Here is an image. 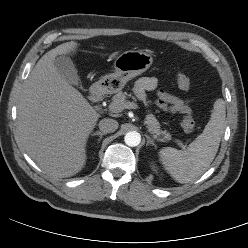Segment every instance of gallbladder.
Wrapping results in <instances>:
<instances>
[{
	"label": "gallbladder",
	"instance_id": "obj_1",
	"mask_svg": "<svg viewBox=\"0 0 248 248\" xmlns=\"http://www.w3.org/2000/svg\"><path fill=\"white\" fill-rule=\"evenodd\" d=\"M54 65L60 76L63 77L68 83L75 86H80L77 70L69 57L65 55L57 57L54 61Z\"/></svg>",
	"mask_w": 248,
	"mask_h": 248
}]
</instances>
